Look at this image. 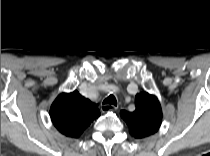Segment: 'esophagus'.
I'll list each match as a JSON object with an SVG mask.
<instances>
[{
	"instance_id": "obj_1",
	"label": "esophagus",
	"mask_w": 210,
	"mask_h": 156,
	"mask_svg": "<svg viewBox=\"0 0 210 156\" xmlns=\"http://www.w3.org/2000/svg\"><path fill=\"white\" fill-rule=\"evenodd\" d=\"M114 109H117V107H115L114 105H109V104L101 105L102 112H109V111H112Z\"/></svg>"
}]
</instances>
